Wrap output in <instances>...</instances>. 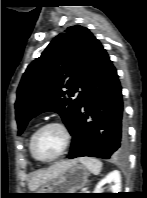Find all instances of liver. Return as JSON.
Segmentation results:
<instances>
[{
  "label": "liver",
  "instance_id": "6515ba94",
  "mask_svg": "<svg viewBox=\"0 0 147 198\" xmlns=\"http://www.w3.org/2000/svg\"><path fill=\"white\" fill-rule=\"evenodd\" d=\"M77 160H69V161H59L56 162L54 165L50 166L46 170H39L36 171L30 182H29V189L31 191L37 190L41 185L47 183L51 179L58 176L64 170L68 169L69 167L75 165Z\"/></svg>",
  "mask_w": 147,
  "mask_h": 198
}]
</instances>
